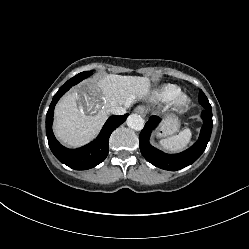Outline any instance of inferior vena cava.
Masks as SVG:
<instances>
[{
    "label": "inferior vena cava",
    "mask_w": 249,
    "mask_h": 249,
    "mask_svg": "<svg viewBox=\"0 0 249 249\" xmlns=\"http://www.w3.org/2000/svg\"><path fill=\"white\" fill-rule=\"evenodd\" d=\"M110 113L114 115H123L126 113V107L123 106H113L110 108Z\"/></svg>",
    "instance_id": "inferior-vena-cava-1"
}]
</instances>
